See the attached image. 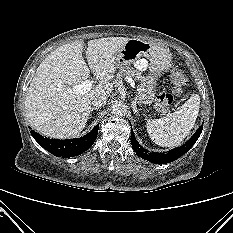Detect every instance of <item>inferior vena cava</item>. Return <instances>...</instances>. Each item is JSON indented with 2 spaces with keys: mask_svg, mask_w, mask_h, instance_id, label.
I'll list each match as a JSON object with an SVG mask.
<instances>
[{
  "mask_svg": "<svg viewBox=\"0 0 233 233\" xmlns=\"http://www.w3.org/2000/svg\"><path fill=\"white\" fill-rule=\"evenodd\" d=\"M106 101H107V97L106 96H103V95H98V96H95L92 98V101L91 103L99 108V107H102L106 104Z\"/></svg>",
  "mask_w": 233,
  "mask_h": 233,
  "instance_id": "inferior-vena-cava-1",
  "label": "inferior vena cava"
}]
</instances>
